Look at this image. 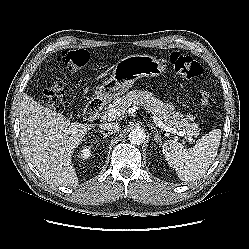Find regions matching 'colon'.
<instances>
[{
	"label": "colon",
	"instance_id": "1",
	"mask_svg": "<svg viewBox=\"0 0 249 249\" xmlns=\"http://www.w3.org/2000/svg\"><path fill=\"white\" fill-rule=\"evenodd\" d=\"M89 61V53L85 50H64L58 57L57 62L67 73H75L81 70ZM174 71L185 79H195L202 75L203 68L192 57L173 52L169 58ZM65 90L61 81H55L48 86L42 95L43 103L54 111L64 109ZM199 100L201 105L207 106L210 102V91L207 88H201L199 91Z\"/></svg>",
	"mask_w": 249,
	"mask_h": 249
}]
</instances>
